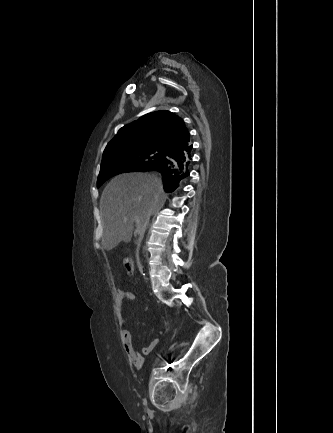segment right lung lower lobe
Segmentation results:
<instances>
[{
  "mask_svg": "<svg viewBox=\"0 0 333 433\" xmlns=\"http://www.w3.org/2000/svg\"><path fill=\"white\" fill-rule=\"evenodd\" d=\"M192 145L172 150L150 171H159L165 191L173 192L190 175Z\"/></svg>",
  "mask_w": 333,
  "mask_h": 433,
  "instance_id": "1",
  "label": "right lung lower lobe"
}]
</instances>
